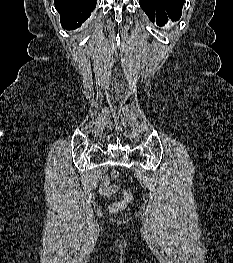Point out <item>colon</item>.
<instances>
[{
	"label": "colon",
	"mask_w": 233,
	"mask_h": 263,
	"mask_svg": "<svg viewBox=\"0 0 233 263\" xmlns=\"http://www.w3.org/2000/svg\"><path fill=\"white\" fill-rule=\"evenodd\" d=\"M111 175L114 179L118 178V171L117 170H113L111 172ZM123 199L117 203H114L110 206V210L113 213H117L123 209H125L131 202H132V194L127 191V190H123Z\"/></svg>",
	"instance_id": "colon-1"
}]
</instances>
